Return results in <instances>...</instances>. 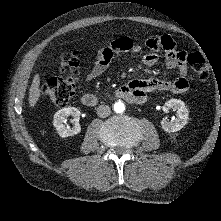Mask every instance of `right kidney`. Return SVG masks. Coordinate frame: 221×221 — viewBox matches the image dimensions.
I'll return each instance as SVG.
<instances>
[{"label":"right kidney","mask_w":221,"mask_h":221,"mask_svg":"<svg viewBox=\"0 0 221 221\" xmlns=\"http://www.w3.org/2000/svg\"><path fill=\"white\" fill-rule=\"evenodd\" d=\"M67 116L74 117L73 122H75V125L72 128L66 127L63 124ZM79 118H80L79 109L75 107L63 108L54 114L53 125L54 127H56V130L60 137L65 138V137L73 136V135L78 134L81 131Z\"/></svg>","instance_id":"ca27d5eb"}]
</instances>
